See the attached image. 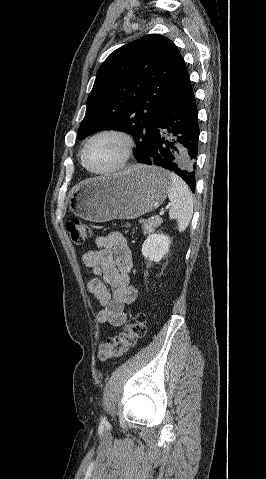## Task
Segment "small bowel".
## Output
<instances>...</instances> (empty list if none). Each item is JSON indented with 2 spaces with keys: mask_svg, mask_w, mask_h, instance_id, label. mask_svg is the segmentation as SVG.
Returning a JSON list of instances; mask_svg holds the SVG:
<instances>
[{
  "mask_svg": "<svg viewBox=\"0 0 266 479\" xmlns=\"http://www.w3.org/2000/svg\"><path fill=\"white\" fill-rule=\"evenodd\" d=\"M83 264L96 277L87 283V290L101 306L96 321L112 327H120L127 320L125 307L137 298V289L130 285L133 268L132 253L120 232L100 235L95 248L82 256Z\"/></svg>",
  "mask_w": 266,
  "mask_h": 479,
  "instance_id": "small-bowel-1",
  "label": "small bowel"
}]
</instances>
